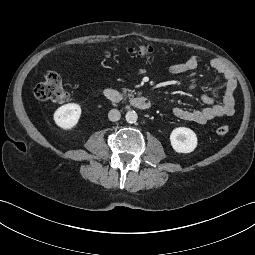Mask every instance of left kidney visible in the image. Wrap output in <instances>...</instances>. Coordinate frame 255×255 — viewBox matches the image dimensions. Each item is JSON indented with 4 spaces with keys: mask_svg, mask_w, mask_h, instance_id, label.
Instances as JSON below:
<instances>
[{
    "mask_svg": "<svg viewBox=\"0 0 255 255\" xmlns=\"http://www.w3.org/2000/svg\"><path fill=\"white\" fill-rule=\"evenodd\" d=\"M170 142L177 153H191L197 147V136L189 128L178 127L171 132Z\"/></svg>",
    "mask_w": 255,
    "mask_h": 255,
    "instance_id": "5707ae66",
    "label": "left kidney"
}]
</instances>
